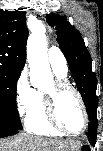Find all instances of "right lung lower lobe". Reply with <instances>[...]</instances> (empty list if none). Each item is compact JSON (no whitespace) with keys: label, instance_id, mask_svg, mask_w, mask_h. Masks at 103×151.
Returning a JSON list of instances; mask_svg holds the SVG:
<instances>
[{"label":"right lung lower lobe","instance_id":"98d812e1","mask_svg":"<svg viewBox=\"0 0 103 151\" xmlns=\"http://www.w3.org/2000/svg\"><path fill=\"white\" fill-rule=\"evenodd\" d=\"M18 132H19V130L11 129L8 127H3L0 125V138L14 135V134H17Z\"/></svg>","mask_w":103,"mask_h":151}]
</instances>
